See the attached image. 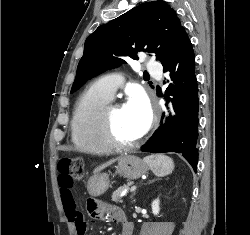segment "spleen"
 Instances as JSON below:
<instances>
[{"label": "spleen", "mask_w": 250, "mask_h": 235, "mask_svg": "<svg viewBox=\"0 0 250 235\" xmlns=\"http://www.w3.org/2000/svg\"><path fill=\"white\" fill-rule=\"evenodd\" d=\"M144 162L148 164L152 172L158 177L166 176L172 173L174 169L173 160L162 154L146 156L144 157Z\"/></svg>", "instance_id": "obj_1"}]
</instances>
